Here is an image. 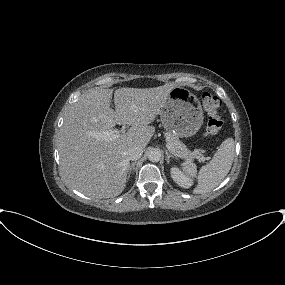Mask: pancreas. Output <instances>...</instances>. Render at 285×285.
<instances>
[{"instance_id":"1","label":"pancreas","mask_w":285,"mask_h":285,"mask_svg":"<svg viewBox=\"0 0 285 285\" xmlns=\"http://www.w3.org/2000/svg\"><path fill=\"white\" fill-rule=\"evenodd\" d=\"M166 141L167 144H171L173 147V150H171L172 154L176 157L186 159V160H192L196 157V154L190 150L187 149L185 144H183L177 136L174 134L168 132L166 133Z\"/></svg>"}]
</instances>
